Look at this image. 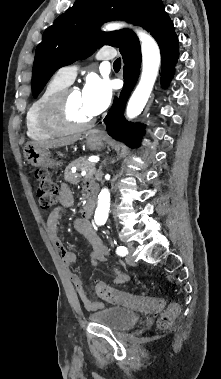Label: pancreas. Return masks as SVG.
<instances>
[{
	"label": "pancreas",
	"mask_w": 221,
	"mask_h": 379,
	"mask_svg": "<svg viewBox=\"0 0 221 379\" xmlns=\"http://www.w3.org/2000/svg\"><path fill=\"white\" fill-rule=\"evenodd\" d=\"M76 167L78 170H85L88 173L94 168L95 164L88 162L87 159L84 157L78 158L74 161H72L65 169L64 172V179L65 181L71 183V184H77L81 178V175L79 173H72L71 168ZM88 175H86V178Z\"/></svg>",
	"instance_id": "pancreas-1"
}]
</instances>
